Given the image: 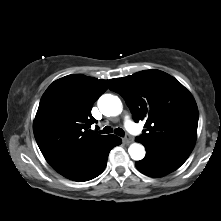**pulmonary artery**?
Listing matches in <instances>:
<instances>
[{
  "label": "pulmonary artery",
  "mask_w": 221,
  "mask_h": 221,
  "mask_svg": "<svg viewBox=\"0 0 221 221\" xmlns=\"http://www.w3.org/2000/svg\"><path fill=\"white\" fill-rule=\"evenodd\" d=\"M125 127L132 134H139L141 131L140 128L135 123H133L129 118L125 119Z\"/></svg>",
  "instance_id": "1"
}]
</instances>
